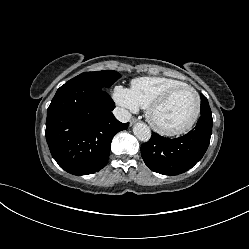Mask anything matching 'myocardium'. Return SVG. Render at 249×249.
Instances as JSON below:
<instances>
[{
    "mask_svg": "<svg viewBox=\"0 0 249 249\" xmlns=\"http://www.w3.org/2000/svg\"><path fill=\"white\" fill-rule=\"evenodd\" d=\"M183 89L191 90L194 93L195 98H196V107H195V111H194L191 119L189 120V122L187 124H185L184 126L178 128V129L168 130V129L161 127L154 120V112L158 108H160L161 106L166 104L175 93H177L178 91L183 90ZM200 111H201V97H200L198 91L191 85L182 84V85H178V86H175V87L169 89L164 94H162L159 98L154 100L147 107L146 116H147V120H148L149 124L151 125V127L155 131H157L158 133L165 135V136H178V135H182V134L188 132L194 126V124L197 122V120L199 118Z\"/></svg>",
    "mask_w": 249,
    "mask_h": 249,
    "instance_id": "f54148a6",
    "label": "myocardium"
}]
</instances>
